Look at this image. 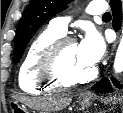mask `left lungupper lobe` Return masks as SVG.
I'll return each instance as SVG.
<instances>
[{
	"instance_id": "left-lung-upper-lobe-1",
	"label": "left lung upper lobe",
	"mask_w": 123,
	"mask_h": 113,
	"mask_svg": "<svg viewBox=\"0 0 123 113\" xmlns=\"http://www.w3.org/2000/svg\"><path fill=\"white\" fill-rule=\"evenodd\" d=\"M70 1L71 0H31L25 8L17 27L13 54L14 63L19 62L27 43L38 28L46 20L64 10Z\"/></svg>"
}]
</instances>
